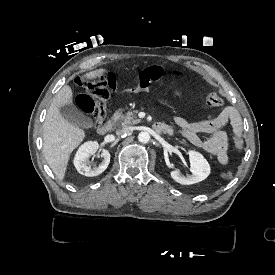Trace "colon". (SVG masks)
I'll return each instance as SVG.
<instances>
[{
    "label": "colon",
    "instance_id": "5ec220e1",
    "mask_svg": "<svg viewBox=\"0 0 275 275\" xmlns=\"http://www.w3.org/2000/svg\"><path fill=\"white\" fill-rule=\"evenodd\" d=\"M89 81L87 77H78L75 80V85L78 88H83L85 92L90 94H80L76 97L75 102L83 113L89 114L94 123H101L106 115L108 106V93L115 89V84L112 81H106L103 84V90L100 89L99 82L102 80V75L99 72H94L91 75ZM205 102L212 107H221L224 104L222 96L209 92L205 95ZM238 147H242V144L238 142ZM224 178H231L232 172H223Z\"/></svg>",
    "mask_w": 275,
    "mask_h": 275
}]
</instances>
